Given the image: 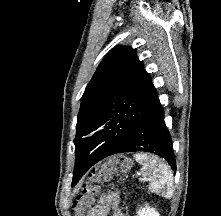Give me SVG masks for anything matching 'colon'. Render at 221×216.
Segmentation results:
<instances>
[{"label":"colon","mask_w":221,"mask_h":216,"mask_svg":"<svg viewBox=\"0 0 221 216\" xmlns=\"http://www.w3.org/2000/svg\"><path fill=\"white\" fill-rule=\"evenodd\" d=\"M131 166V160L126 157L111 158L95 168L92 173V178L94 180L109 178L113 172H127ZM90 205L91 197L88 191L84 190L73 202L75 216H87Z\"/></svg>","instance_id":"colon-1"}]
</instances>
